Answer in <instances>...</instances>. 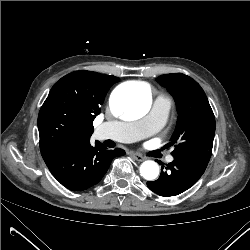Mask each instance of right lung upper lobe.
I'll return each mask as SVG.
<instances>
[{
    "label": "right lung upper lobe",
    "mask_w": 250,
    "mask_h": 250,
    "mask_svg": "<svg viewBox=\"0 0 250 250\" xmlns=\"http://www.w3.org/2000/svg\"><path fill=\"white\" fill-rule=\"evenodd\" d=\"M119 78L92 71H75L57 81L38 116L41 154L88 142L93 120L109 88Z\"/></svg>",
    "instance_id": "obj_1"
}]
</instances>
